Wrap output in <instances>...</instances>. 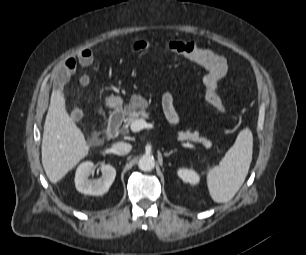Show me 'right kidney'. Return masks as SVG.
<instances>
[{
  "mask_svg": "<svg viewBox=\"0 0 306 255\" xmlns=\"http://www.w3.org/2000/svg\"><path fill=\"white\" fill-rule=\"evenodd\" d=\"M102 177L90 180L89 176L94 171V164L90 161L79 165L75 175L76 189L84 194L103 195L106 193L116 177V170L112 165H102L100 167Z\"/></svg>",
  "mask_w": 306,
  "mask_h": 255,
  "instance_id": "ca27d5eb",
  "label": "right kidney"
}]
</instances>
